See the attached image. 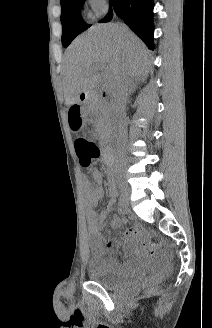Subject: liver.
<instances>
[{"label":"liver","mask_w":212,"mask_h":328,"mask_svg":"<svg viewBox=\"0 0 212 328\" xmlns=\"http://www.w3.org/2000/svg\"><path fill=\"white\" fill-rule=\"evenodd\" d=\"M107 65L109 74L104 86L113 90L117 78L125 74L137 78L150 67L147 50L126 26L100 24L77 37L67 48L64 58V96L67 105L82 93H89L102 82L99 72Z\"/></svg>","instance_id":"6515ba94"}]
</instances>
